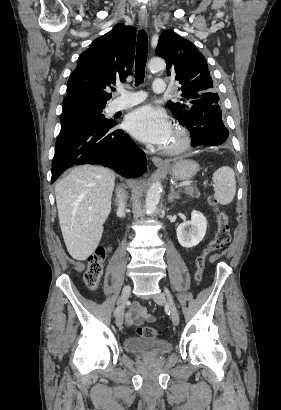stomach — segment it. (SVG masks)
<instances>
[{"instance_id":"1","label":"stomach","mask_w":281,"mask_h":410,"mask_svg":"<svg viewBox=\"0 0 281 410\" xmlns=\"http://www.w3.org/2000/svg\"><path fill=\"white\" fill-rule=\"evenodd\" d=\"M165 170L175 179H191L199 171V164L193 160L180 159L169 164Z\"/></svg>"}]
</instances>
